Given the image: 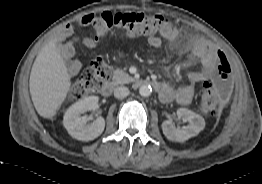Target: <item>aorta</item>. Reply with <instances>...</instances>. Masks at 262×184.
Wrapping results in <instances>:
<instances>
[{"mask_svg":"<svg viewBox=\"0 0 262 184\" xmlns=\"http://www.w3.org/2000/svg\"><path fill=\"white\" fill-rule=\"evenodd\" d=\"M151 92H152V88H151L150 85L144 84V85L140 86V88H139V94L143 97L150 96Z\"/></svg>","mask_w":262,"mask_h":184,"instance_id":"aorta-1","label":"aorta"}]
</instances>
